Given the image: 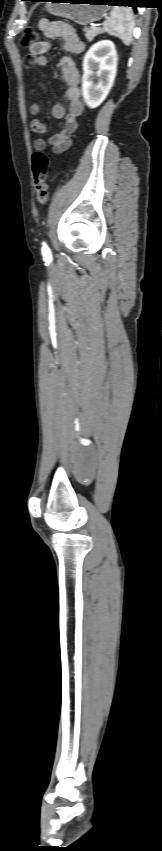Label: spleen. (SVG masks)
I'll list each match as a JSON object with an SVG mask.
<instances>
[{
  "instance_id": "spleen-1",
  "label": "spleen",
  "mask_w": 162,
  "mask_h": 851,
  "mask_svg": "<svg viewBox=\"0 0 162 851\" xmlns=\"http://www.w3.org/2000/svg\"><path fill=\"white\" fill-rule=\"evenodd\" d=\"M133 28L134 16L128 7H113L109 19L104 23V31L118 37L127 46L132 42Z\"/></svg>"
}]
</instances>
